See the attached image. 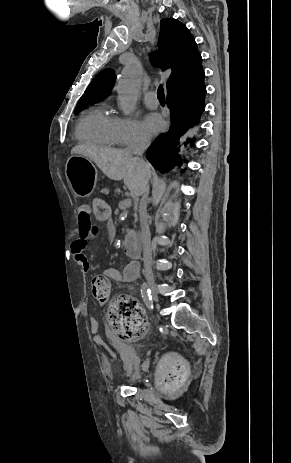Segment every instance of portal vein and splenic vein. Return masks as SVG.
<instances>
[{
    "instance_id": "18ae733b",
    "label": "portal vein and splenic vein",
    "mask_w": 291,
    "mask_h": 463,
    "mask_svg": "<svg viewBox=\"0 0 291 463\" xmlns=\"http://www.w3.org/2000/svg\"><path fill=\"white\" fill-rule=\"evenodd\" d=\"M131 206V199L127 198L119 202L120 209H126Z\"/></svg>"
}]
</instances>
